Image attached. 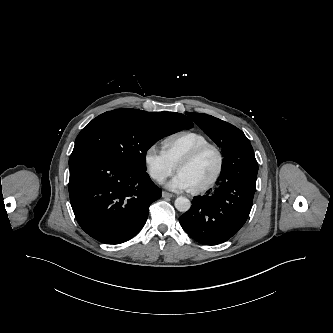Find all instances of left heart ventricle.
<instances>
[{
	"instance_id": "1",
	"label": "left heart ventricle",
	"mask_w": 333,
	"mask_h": 333,
	"mask_svg": "<svg viewBox=\"0 0 333 333\" xmlns=\"http://www.w3.org/2000/svg\"><path fill=\"white\" fill-rule=\"evenodd\" d=\"M217 155L213 150L204 152L198 159L183 166L181 173L189 182L192 189L207 183L214 175L217 168Z\"/></svg>"
}]
</instances>
